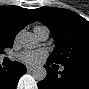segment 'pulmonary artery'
<instances>
[{"label":"pulmonary artery","instance_id":"pulmonary-artery-1","mask_svg":"<svg viewBox=\"0 0 89 89\" xmlns=\"http://www.w3.org/2000/svg\"><path fill=\"white\" fill-rule=\"evenodd\" d=\"M34 34L38 40L45 41L48 39L50 32L47 27L38 26L34 29Z\"/></svg>","mask_w":89,"mask_h":89}]
</instances>
